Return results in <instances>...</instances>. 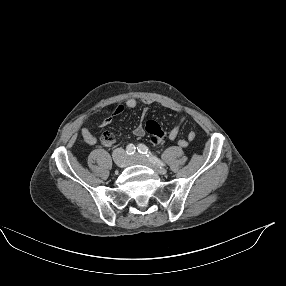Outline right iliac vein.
Returning <instances> with one entry per match:
<instances>
[{
  "label": "right iliac vein",
  "mask_w": 286,
  "mask_h": 286,
  "mask_svg": "<svg viewBox=\"0 0 286 286\" xmlns=\"http://www.w3.org/2000/svg\"><path fill=\"white\" fill-rule=\"evenodd\" d=\"M116 164H117L118 167L124 168V167L127 166V160L124 159V158L123 159H119V160L116 161Z\"/></svg>",
  "instance_id": "1"
}]
</instances>
